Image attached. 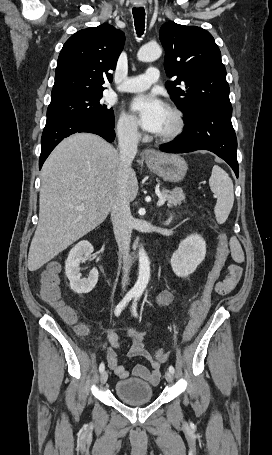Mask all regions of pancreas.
<instances>
[{
  "label": "pancreas",
  "instance_id": "1",
  "mask_svg": "<svg viewBox=\"0 0 272 455\" xmlns=\"http://www.w3.org/2000/svg\"><path fill=\"white\" fill-rule=\"evenodd\" d=\"M162 194L166 196L167 205L169 207L171 206L176 207L178 205H181L182 203H185L186 196L183 193V191L179 188L174 189L172 191L163 190Z\"/></svg>",
  "mask_w": 272,
  "mask_h": 455
}]
</instances>
